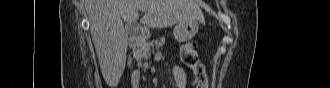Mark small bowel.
Returning a JSON list of instances; mask_svg holds the SVG:
<instances>
[{"label": "small bowel", "mask_w": 330, "mask_h": 88, "mask_svg": "<svg viewBox=\"0 0 330 88\" xmlns=\"http://www.w3.org/2000/svg\"><path fill=\"white\" fill-rule=\"evenodd\" d=\"M173 79L176 88H185L187 85V78L184 70L179 66H174L172 69Z\"/></svg>", "instance_id": "obj_1"}]
</instances>
